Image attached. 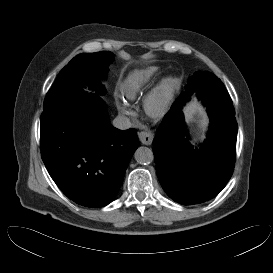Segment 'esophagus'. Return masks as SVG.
<instances>
[{
  "label": "esophagus",
  "instance_id": "1",
  "mask_svg": "<svg viewBox=\"0 0 273 273\" xmlns=\"http://www.w3.org/2000/svg\"><path fill=\"white\" fill-rule=\"evenodd\" d=\"M139 140L144 145H151L153 141V134L147 131H141L138 133Z\"/></svg>",
  "mask_w": 273,
  "mask_h": 273
}]
</instances>
